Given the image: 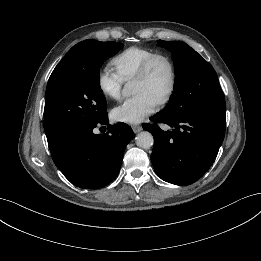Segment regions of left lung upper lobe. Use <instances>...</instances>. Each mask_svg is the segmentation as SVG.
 <instances>
[{"label": "left lung upper lobe", "instance_id": "obj_1", "mask_svg": "<svg viewBox=\"0 0 261 261\" xmlns=\"http://www.w3.org/2000/svg\"><path fill=\"white\" fill-rule=\"evenodd\" d=\"M158 45L171 51L176 72L174 92L160 113L181 117L226 107L217 74L199 53L180 41L158 40Z\"/></svg>", "mask_w": 261, "mask_h": 261}]
</instances>
